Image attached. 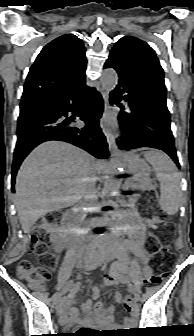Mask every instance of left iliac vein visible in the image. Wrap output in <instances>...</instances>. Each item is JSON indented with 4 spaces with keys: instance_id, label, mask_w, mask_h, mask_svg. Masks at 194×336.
Returning a JSON list of instances; mask_svg holds the SVG:
<instances>
[{
    "instance_id": "obj_1",
    "label": "left iliac vein",
    "mask_w": 194,
    "mask_h": 336,
    "mask_svg": "<svg viewBox=\"0 0 194 336\" xmlns=\"http://www.w3.org/2000/svg\"><path fill=\"white\" fill-rule=\"evenodd\" d=\"M133 294H135V297H134V299H135V301H139L140 300V296L138 295V294H136V290H135V288L133 287ZM131 292V291H130Z\"/></svg>"
}]
</instances>
